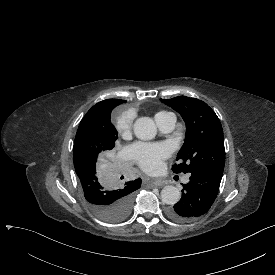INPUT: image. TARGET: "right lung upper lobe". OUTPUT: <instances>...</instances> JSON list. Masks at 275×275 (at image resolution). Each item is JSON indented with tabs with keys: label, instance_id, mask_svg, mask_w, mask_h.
Wrapping results in <instances>:
<instances>
[{
	"label": "right lung upper lobe",
	"instance_id": "cb5924a9",
	"mask_svg": "<svg viewBox=\"0 0 275 275\" xmlns=\"http://www.w3.org/2000/svg\"><path fill=\"white\" fill-rule=\"evenodd\" d=\"M126 102L125 100H119V99H107L104 101H101L99 103H97L96 105H94L86 114V116H93V117H97V116H104L107 114H111V111L118 105H120L121 103ZM137 180H141V179H137Z\"/></svg>",
	"mask_w": 275,
	"mask_h": 275
}]
</instances>
